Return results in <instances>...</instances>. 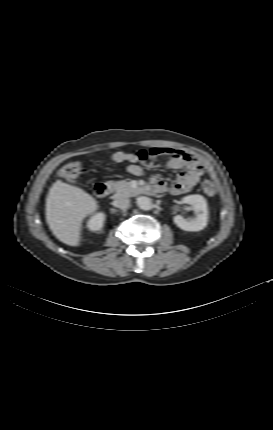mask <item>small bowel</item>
Returning <instances> with one entry per match:
<instances>
[{
  "label": "small bowel",
  "mask_w": 273,
  "mask_h": 430,
  "mask_svg": "<svg viewBox=\"0 0 273 430\" xmlns=\"http://www.w3.org/2000/svg\"><path fill=\"white\" fill-rule=\"evenodd\" d=\"M160 157H169L167 166L170 169L183 171L171 186L158 177H152L148 186L150 192H170L174 195L187 193L199 182L205 172L204 165L191 153L170 147L142 149L137 153L117 151L112 154L111 159L117 163L129 162L127 171L134 175H141L142 166L152 167Z\"/></svg>",
  "instance_id": "obj_1"
}]
</instances>
